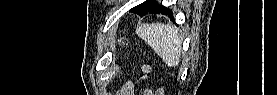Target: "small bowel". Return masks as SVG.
<instances>
[{"instance_id":"obj_1","label":"small bowel","mask_w":277,"mask_h":95,"mask_svg":"<svg viewBox=\"0 0 277 95\" xmlns=\"http://www.w3.org/2000/svg\"><path fill=\"white\" fill-rule=\"evenodd\" d=\"M118 94L133 95L134 94V89H133L132 83L130 81H125L122 84L121 90ZM143 94H145V95H160V94H163V93L161 91L153 92L151 90H145V92Z\"/></svg>"}]
</instances>
